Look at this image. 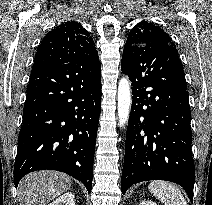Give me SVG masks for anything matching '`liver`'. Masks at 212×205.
Instances as JSON below:
<instances>
[{
  "instance_id": "obj_1",
  "label": "liver",
  "mask_w": 212,
  "mask_h": 205,
  "mask_svg": "<svg viewBox=\"0 0 212 205\" xmlns=\"http://www.w3.org/2000/svg\"><path fill=\"white\" fill-rule=\"evenodd\" d=\"M70 186V177L60 172L46 170L30 173L18 185L20 205H46Z\"/></svg>"
}]
</instances>
